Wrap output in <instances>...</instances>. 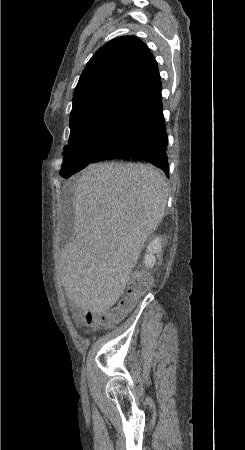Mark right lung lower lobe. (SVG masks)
Returning <instances> with one entry per match:
<instances>
[{
    "instance_id": "1",
    "label": "right lung lower lobe",
    "mask_w": 245,
    "mask_h": 450,
    "mask_svg": "<svg viewBox=\"0 0 245 450\" xmlns=\"http://www.w3.org/2000/svg\"><path fill=\"white\" fill-rule=\"evenodd\" d=\"M166 148L167 135L160 98L136 115L129 134L123 141L110 151L98 154L91 162L136 158L156 165L169 177Z\"/></svg>"
}]
</instances>
